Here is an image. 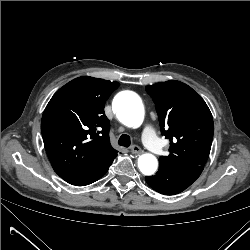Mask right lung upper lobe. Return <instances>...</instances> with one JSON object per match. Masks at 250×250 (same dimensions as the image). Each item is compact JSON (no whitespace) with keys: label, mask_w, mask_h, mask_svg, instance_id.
Instances as JSON below:
<instances>
[{"label":"right lung upper lobe","mask_w":250,"mask_h":250,"mask_svg":"<svg viewBox=\"0 0 250 250\" xmlns=\"http://www.w3.org/2000/svg\"><path fill=\"white\" fill-rule=\"evenodd\" d=\"M118 86V82L82 76L53 95L42 116L41 132L57 174L85 170L117 153L110 145L104 105Z\"/></svg>","instance_id":"1"}]
</instances>
